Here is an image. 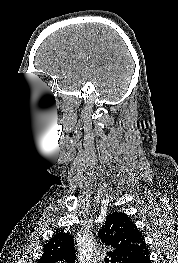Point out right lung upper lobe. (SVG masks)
I'll return each instance as SVG.
<instances>
[{"label": "right lung upper lobe", "mask_w": 178, "mask_h": 263, "mask_svg": "<svg viewBox=\"0 0 178 263\" xmlns=\"http://www.w3.org/2000/svg\"><path fill=\"white\" fill-rule=\"evenodd\" d=\"M98 236L104 244L113 248V251L107 253L111 263H134L148 251L143 235L124 213L109 214ZM75 259L72 236L59 232L45 245L38 263H56L62 260L75 263Z\"/></svg>", "instance_id": "obj_1"}]
</instances>
